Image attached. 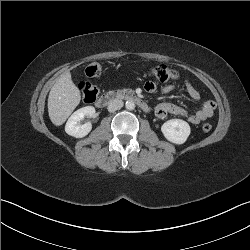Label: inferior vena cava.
Returning <instances> with one entry per match:
<instances>
[{
	"label": "inferior vena cava",
	"instance_id": "1",
	"mask_svg": "<svg viewBox=\"0 0 250 250\" xmlns=\"http://www.w3.org/2000/svg\"><path fill=\"white\" fill-rule=\"evenodd\" d=\"M123 101L119 99H113L109 102L108 104V111L109 112H114L116 110H119L123 107Z\"/></svg>",
	"mask_w": 250,
	"mask_h": 250
}]
</instances>
